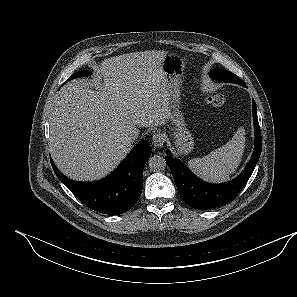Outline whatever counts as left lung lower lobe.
<instances>
[{
  "label": "left lung lower lobe",
  "mask_w": 297,
  "mask_h": 297,
  "mask_svg": "<svg viewBox=\"0 0 297 297\" xmlns=\"http://www.w3.org/2000/svg\"><path fill=\"white\" fill-rule=\"evenodd\" d=\"M253 121L255 128V147L250 161L241 174L230 182L210 184L196 177L181 161L172 158L167 151L165 157L178 192L182 199L194 209H211L228 204L241 192L249 180L261 154L262 140L257 117V107L253 100Z\"/></svg>",
  "instance_id": "left-lung-lower-lobe-1"
}]
</instances>
